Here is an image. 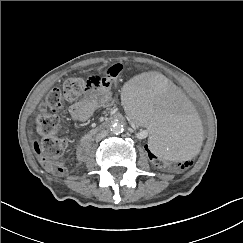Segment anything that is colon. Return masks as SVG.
Returning <instances> with one entry per match:
<instances>
[{"mask_svg":"<svg viewBox=\"0 0 243 243\" xmlns=\"http://www.w3.org/2000/svg\"><path fill=\"white\" fill-rule=\"evenodd\" d=\"M122 70L123 66L120 63L108 66L101 74H97L95 69L90 68L85 73L88 80L79 77L67 78L61 89L54 88L46 95L45 100L39 106L35 120L37 131L42 136L41 141L35 142V150L41 156L42 165L48 172L61 176L66 171L62 158L66 153L68 143L56 135L60 126V119L56 112L60 110L63 100H75L86 89L95 85L114 84ZM142 151L156 167L164 168L168 165V162L153 152L150 146H143ZM195 166L196 163L193 160L177 161L174 164L175 169L184 171L191 170Z\"/></svg>","mask_w":243,"mask_h":243,"instance_id":"1","label":"colon"}]
</instances>
